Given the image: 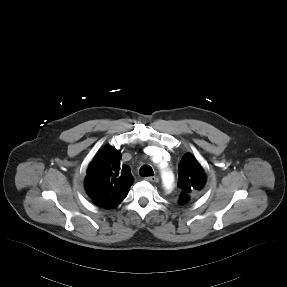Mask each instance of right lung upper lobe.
<instances>
[{"label":"right lung upper lobe","mask_w":287,"mask_h":287,"mask_svg":"<svg viewBox=\"0 0 287 287\" xmlns=\"http://www.w3.org/2000/svg\"><path fill=\"white\" fill-rule=\"evenodd\" d=\"M120 151L107 145L93 158L87 169L85 189L93 202L103 208L117 206L133 183L130 168L120 163Z\"/></svg>","instance_id":"obj_1"}]
</instances>
